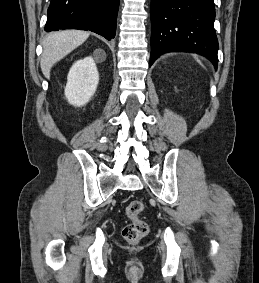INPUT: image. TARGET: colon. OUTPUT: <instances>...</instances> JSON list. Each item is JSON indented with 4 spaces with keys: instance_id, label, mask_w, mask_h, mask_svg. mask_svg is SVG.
I'll list each match as a JSON object with an SVG mask.
<instances>
[{
    "instance_id": "5ec220e1",
    "label": "colon",
    "mask_w": 259,
    "mask_h": 283,
    "mask_svg": "<svg viewBox=\"0 0 259 283\" xmlns=\"http://www.w3.org/2000/svg\"><path fill=\"white\" fill-rule=\"evenodd\" d=\"M143 210L144 204L140 200H133L126 207L129 223L123 228L122 235L130 244L138 243L149 231L148 224L140 218Z\"/></svg>"
}]
</instances>
